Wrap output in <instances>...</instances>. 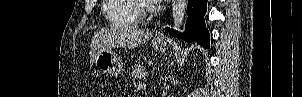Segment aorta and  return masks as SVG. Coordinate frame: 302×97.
<instances>
[{
  "label": "aorta",
  "instance_id": "762f6f07",
  "mask_svg": "<svg viewBox=\"0 0 302 97\" xmlns=\"http://www.w3.org/2000/svg\"><path fill=\"white\" fill-rule=\"evenodd\" d=\"M187 0H172L173 26L176 31H181L186 12Z\"/></svg>",
  "mask_w": 302,
  "mask_h": 97
}]
</instances>
